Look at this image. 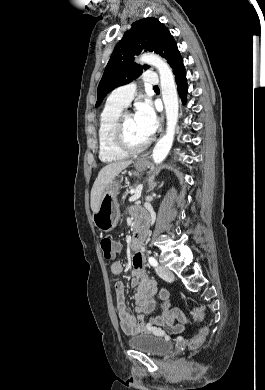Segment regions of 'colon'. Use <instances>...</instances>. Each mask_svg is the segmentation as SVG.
<instances>
[{"mask_svg":"<svg viewBox=\"0 0 265 390\" xmlns=\"http://www.w3.org/2000/svg\"><path fill=\"white\" fill-rule=\"evenodd\" d=\"M100 247H101L103 256L106 260H112L115 258V256H116L115 243L111 238L104 237L103 239H101ZM192 314H193L195 321H197V322L202 321L204 316H205L204 310L202 308H198V307L193 309ZM208 331L209 330L207 327L201 328L198 335L193 339L192 344L194 346H196V345L202 343L205 340L206 336L208 335Z\"/></svg>","mask_w":265,"mask_h":390,"instance_id":"colon-1","label":"colon"}]
</instances>
